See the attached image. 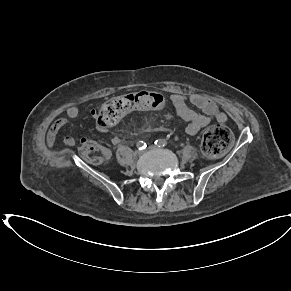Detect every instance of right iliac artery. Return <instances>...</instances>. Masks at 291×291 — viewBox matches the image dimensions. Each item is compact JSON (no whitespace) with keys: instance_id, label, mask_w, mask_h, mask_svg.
I'll use <instances>...</instances> for the list:
<instances>
[{"instance_id":"obj_1","label":"right iliac artery","mask_w":291,"mask_h":291,"mask_svg":"<svg viewBox=\"0 0 291 291\" xmlns=\"http://www.w3.org/2000/svg\"><path fill=\"white\" fill-rule=\"evenodd\" d=\"M146 143L144 142V141H139V142H137V147H138V149L139 150H143V149H145L146 148Z\"/></svg>"}]
</instances>
